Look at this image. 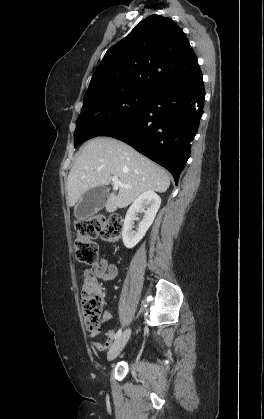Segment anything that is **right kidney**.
<instances>
[{
  "mask_svg": "<svg viewBox=\"0 0 264 419\" xmlns=\"http://www.w3.org/2000/svg\"><path fill=\"white\" fill-rule=\"evenodd\" d=\"M160 204L161 198L154 191H146L134 200L126 213L122 229V239L126 248L131 249L142 240L152 225ZM140 211L144 212V216L137 231H134V220Z\"/></svg>",
  "mask_w": 264,
  "mask_h": 419,
  "instance_id": "right-kidney-1",
  "label": "right kidney"
}]
</instances>
